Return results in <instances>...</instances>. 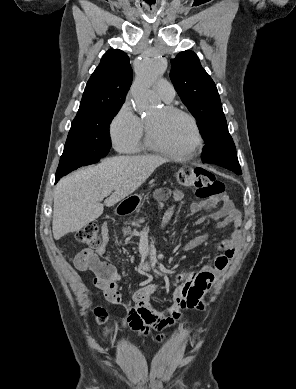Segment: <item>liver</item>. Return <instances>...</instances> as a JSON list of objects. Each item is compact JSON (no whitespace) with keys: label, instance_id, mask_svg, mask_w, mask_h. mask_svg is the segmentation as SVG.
Segmentation results:
<instances>
[{"label":"liver","instance_id":"obj_1","mask_svg":"<svg viewBox=\"0 0 296 389\" xmlns=\"http://www.w3.org/2000/svg\"><path fill=\"white\" fill-rule=\"evenodd\" d=\"M167 160L152 155L117 156L61 179L55 188L52 231L55 240L77 232L107 207L136 191ZM107 194L104 204L101 198Z\"/></svg>","mask_w":296,"mask_h":389}]
</instances>
